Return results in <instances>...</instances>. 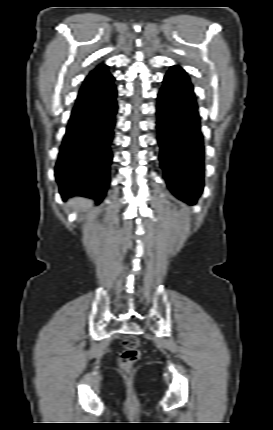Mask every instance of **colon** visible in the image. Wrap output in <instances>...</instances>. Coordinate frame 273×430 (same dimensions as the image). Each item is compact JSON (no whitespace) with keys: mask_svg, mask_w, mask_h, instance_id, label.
<instances>
[{"mask_svg":"<svg viewBox=\"0 0 273 430\" xmlns=\"http://www.w3.org/2000/svg\"><path fill=\"white\" fill-rule=\"evenodd\" d=\"M123 347L119 355V364L124 371L128 372L142 354L141 342L137 337L129 335L124 338Z\"/></svg>","mask_w":273,"mask_h":430,"instance_id":"colon-1","label":"colon"}]
</instances>
